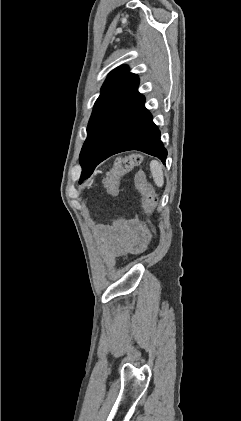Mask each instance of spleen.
<instances>
[{"label": "spleen", "instance_id": "obj_1", "mask_svg": "<svg viewBox=\"0 0 241 421\" xmlns=\"http://www.w3.org/2000/svg\"><path fill=\"white\" fill-rule=\"evenodd\" d=\"M150 169H151L155 184L158 187H162L164 184L162 165L157 160H153L150 163Z\"/></svg>", "mask_w": 241, "mask_h": 421}]
</instances>
